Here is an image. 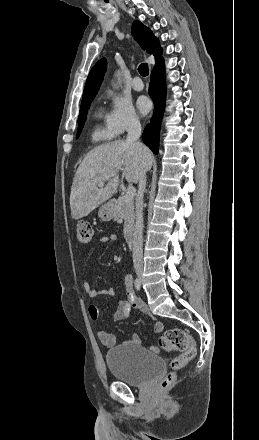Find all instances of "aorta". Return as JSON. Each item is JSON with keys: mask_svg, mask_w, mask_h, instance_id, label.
<instances>
[{"mask_svg": "<svg viewBox=\"0 0 259 440\" xmlns=\"http://www.w3.org/2000/svg\"><path fill=\"white\" fill-rule=\"evenodd\" d=\"M116 77H117V80H118V85H120L121 82H122L121 72H120V71H117V72H116Z\"/></svg>", "mask_w": 259, "mask_h": 440, "instance_id": "762f6f07", "label": "aorta"}]
</instances>
